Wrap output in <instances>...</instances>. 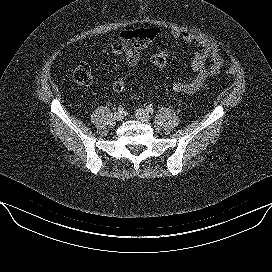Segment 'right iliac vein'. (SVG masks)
Listing matches in <instances>:
<instances>
[{
  "label": "right iliac vein",
  "instance_id": "obj_1",
  "mask_svg": "<svg viewBox=\"0 0 272 272\" xmlns=\"http://www.w3.org/2000/svg\"><path fill=\"white\" fill-rule=\"evenodd\" d=\"M123 118H124V115H123L122 112H119V111H118V112H116V113L114 114V119H115L116 121H118V122L122 121Z\"/></svg>",
  "mask_w": 272,
  "mask_h": 272
}]
</instances>
